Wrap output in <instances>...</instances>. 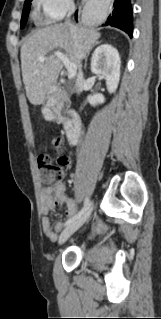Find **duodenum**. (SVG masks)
<instances>
[{"label":"duodenum","instance_id":"obj_1","mask_svg":"<svg viewBox=\"0 0 161 319\" xmlns=\"http://www.w3.org/2000/svg\"><path fill=\"white\" fill-rule=\"evenodd\" d=\"M63 98L64 97L62 95H56L51 99V101H48L43 105L45 115L48 118H53L52 106L61 104L63 102ZM64 123L69 144H77L81 135V121L78 113L73 110L69 111L67 118L64 120Z\"/></svg>","mask_w":161,"mask_h":319}]
</instances>
